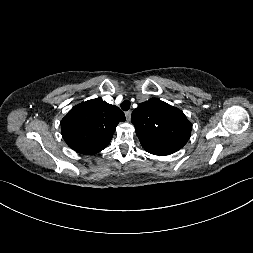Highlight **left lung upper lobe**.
<instances>
[{"mask_svg":"<svg viewBox=\"0 0 253 253\" xmlns=\"http://www.w3.org/2000/svg\"><path fill=\"white\" fill-rule=\"evenodd\" d=\"M131 121L141 145L154 155H169L181 149L192 129L180 109L155 98L140 103Z\"/></svg>","mask_w":253,"mask_h":253,"instance_id":"5c2ea615","label":"left lung upper lobe"}]
</instances>
